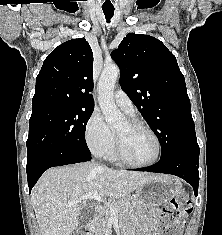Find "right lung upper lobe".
Masks as SVG:
<instances>
[{
	"label": "right lung upper lobe",
	"mask_w": 222,
	"mask_h": 235,
	"mask_svg": "<svg viewBox=\"0 0 222 235\" xmlns=\"http://www.w3.org/2000/svg\"><path fill=\"white\" fill-rule=\"evenodd\" d=\"M93 53L85 38L56 47L44 60L36 78L32 113L53 105L94 109Z\"/></svg>",
	"instance_id": "1"
}]
</instances>
